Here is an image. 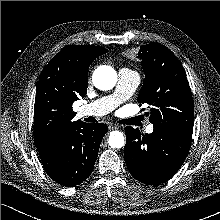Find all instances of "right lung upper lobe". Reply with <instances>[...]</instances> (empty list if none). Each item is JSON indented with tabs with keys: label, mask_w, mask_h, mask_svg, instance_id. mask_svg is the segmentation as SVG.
<instances>
[{
	"label": "right lung upper lobe",
	"mask_w": 220,
	"mask_h": 220,
	"mask_svg": "<svg viewBox=\"0 0 220 220\" xmlns=\"http://www.w3.org/2000/svg\"><path fill=\"white\" fill-rule=\"evenodd\" d=\"M107 50L92 45H68L43 69L36 91L34 136L37 149L81 121H73L72 104L84 97L90 63Z\"/></svg>",
	"instance_id": "right-lung-upper-lobe-1"
}]
</instances>
